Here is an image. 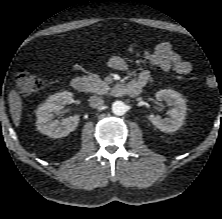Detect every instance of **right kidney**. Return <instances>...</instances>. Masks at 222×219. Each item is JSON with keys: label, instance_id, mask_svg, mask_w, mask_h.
<instances>
[{"label": "right kidney", "instance_id": "1", "mask_svg": "<svg viewBox=\"0 0 222 219\" xmlns=\"http://www.w3.org/2000/svg\"><path fill=\"white\" fill-rule=\"evenodd\" d=\"M73 94L63 91L51 95L36 111L37 129L51 138L65 137L73 132L79 123L80 116L74 115L63 119L61 122L53 120V113L61 110L64 105L72 100Z\"/></svg>", "mask_w": 222, "mask_h": 219}]
</instances>
